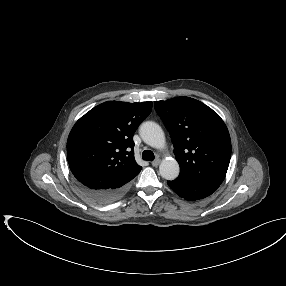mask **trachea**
I'll return each instance as SVG.
<instances>
[{
	"label": "trachea",
	"instance_id": "1",
	"mask_svg": "<svg viewBox=\"0 0 286 286\" xmlns=\"http://www.w3.org/2000/svg\"><path fill=\"white\" fill-rule=\"evenodd\" d=\"M155 158L154 153L151 150H145L142 153V159L147 161H153Z\"/></svg>",
	"mask_w": 286,
	"mask_h": 286
}]
</instances>
